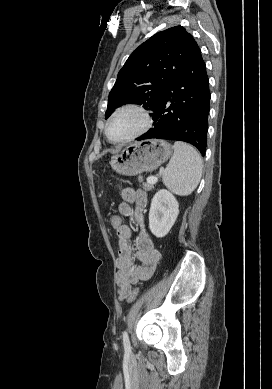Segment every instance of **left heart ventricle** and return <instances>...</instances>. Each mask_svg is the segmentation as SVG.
<instances>
[{"instance_id":"b2bd125f","label":"left heart ventricle","mask_w":272,"mask_h":389,"mask_svg":"<svg viewBox=\"0 0 272 389\" xmlns=\"http://www.w3.org/2000/svg\"><path fill=\"white\" fill-rule=\"evenodd\" d=\"M142 123L141 116L134 111H124L118 114L109 126V135L114 140L128 137L134 133Z\"/></svg>"}]
</instances>
